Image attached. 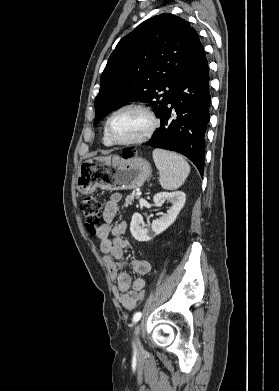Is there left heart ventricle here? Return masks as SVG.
I'll return each mask as SVG.
<instances>
[{"mask_svg": "<svg viewBox=\"0 0 279 391\" xmlns=\"http://www.w3.org/2000/svg\"><path fill=\"white\" fill-rule=\"evenodd\" d=\"M148 127L149 119L144 113L128 109L114 116L110 134L117 141H127L140 136Z\"/></svg>", "mask_w": 279, "mask_h": 391, "instance_id": "left-heart-ventricle-1", "label": "left heart ventricle"}]
</instances>
